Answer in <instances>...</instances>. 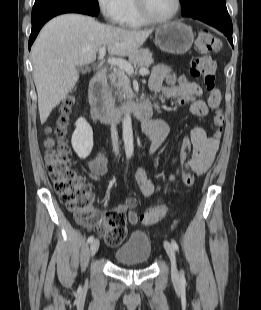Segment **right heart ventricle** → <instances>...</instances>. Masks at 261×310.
Returning a JSON list of instances; mask_svg holds the SVG:
<instances>
[{
  "label": "right heart ventricle",
  "mask_w": 261,
  "mask_h": 310,
  "mask_svg": "<svg viewBox=\"0 0 261 310\" xmlns=\"http://www.w3.org/2000/svg\"><path fill=\"white\" fill-rule=\"evenodd\" d=\"M125 9L119 24L125 28H141L147 25V23L140 17L135 0H125Z\"/></svg>",
  "instance_id": "e07e8e85"
}]
</instances>
